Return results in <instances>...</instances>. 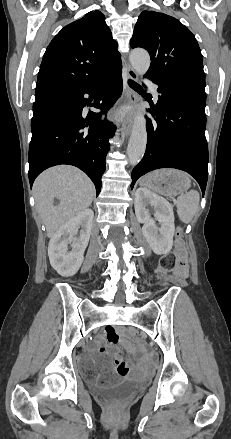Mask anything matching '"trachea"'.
<instances>
[{
    "mask_svg": "<svg viewBox=\"0 0 231 439\" xmlns=\"http://www.w3.org/2000/svg\"><path fill=\"white\" fill-rule=\"evenodd\" d=\"M128 84L130 87H132L135 90L142 89L141 86L139 84H137L136 82H134L133 80H129Z\"/></svg>",
    "mask_w": 231,
    "mask_h": 439,
    "instance_id": "trachea-1",
    "label": "trachea"
}]
</instances>
